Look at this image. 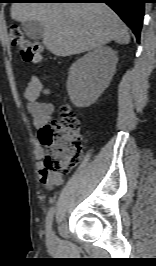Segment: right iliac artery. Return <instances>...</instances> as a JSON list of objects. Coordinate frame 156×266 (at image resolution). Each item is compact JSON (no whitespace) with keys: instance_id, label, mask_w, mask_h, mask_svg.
<instances>
[{"instance_id":"82829eb1","label":"right iliac artery","mask_w":156,"mask_h":266,"mask_svg":"<svg viewBox=\"0 0 156 266\" xmlns=\"http://www.w3.org/2000/svg\"><path fill=\"white\" fill-rule=\"evenodd\" d=\"M54 212H55V208L52 207L46 217V232H47V236L51 230V225H52V220H53V216H54Z\"/></svg>"}]
</instances>
